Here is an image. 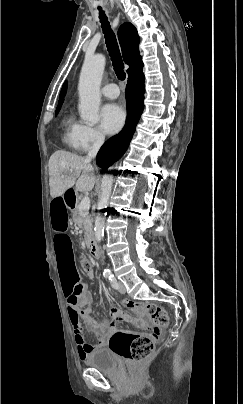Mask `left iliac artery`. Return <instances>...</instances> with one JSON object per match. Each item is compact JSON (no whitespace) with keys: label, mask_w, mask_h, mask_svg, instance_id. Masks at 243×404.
Segmentation results:
<instances>
[{"label":"left iliac artery","mask_w":243,"mask_h":404,"mask_svg":"<svg viewBox=\"0 0 243 404\" xmlns=\"http://www.w3.org/2000/svg\"><path fill=\"white\" fill-rule=\"evenodd\" d=\"M109 280L111 282L112 287L117 289L118 288V283H117V281H116L113 274L110 275Z\"/></svg>","instance_id":"left-iliac-artery-1"}]
</instances>
